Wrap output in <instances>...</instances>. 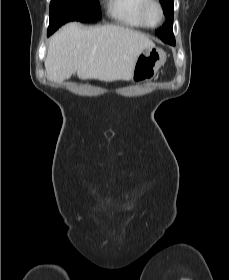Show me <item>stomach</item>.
<instances>
[{
	"label": "stomach",
	"instance_id": "stomach-1",
	"mask_svg": "<svg viewBox=\"0 0 229 280\" xmlns=\"http://www.w3.org/2000/svg\"><path fill=\"white\" fill-rule=\"evenodd\" d=\"M166 61V53L157 47L146 49L138 56L133 67L131 80L143 82L153 79Z\"/></svg>",
	"mask_w": 229,
	"mask_h": 280
}]
</instances>
